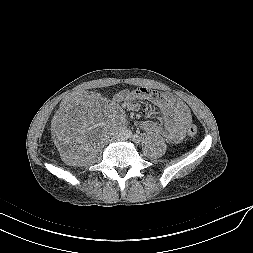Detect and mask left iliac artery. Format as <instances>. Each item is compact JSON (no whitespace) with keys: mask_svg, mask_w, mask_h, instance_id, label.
Returning a JSON list of instances; mask_svg holds the SVG:
<instances>
[{"mask_svg":"<svg viewBox=\"0 0 253 253\" xmlns=\"http://www.w3.org/2000/svg\"><path fill=\"white\" fill-rule=\"evenodd\" d=\"M132 140L135 143H140L141 142V137L139 135L135 134V135L132 136Z\"/></svg>","mask_w":253,"mask_h":253,"instance_id":"44dca946","label":"left iliac artery"}]
</instances>
